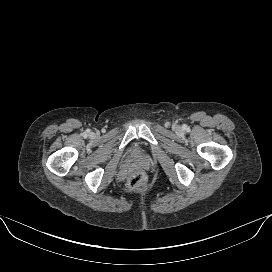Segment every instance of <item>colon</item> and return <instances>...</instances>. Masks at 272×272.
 <instances>
[{
    "label": "colon",
    "instance_id": "obj_1",
    "mask_svg": "<svg viewBox=\"0 0 272 272\" xmlns=\"http://www.w3.org/2000/svg\"><path fill=\"white\" fill-rule=\"evenodd\" d=\"M127 185L130 189L140 190L146 185V175L142 170H136L128 178Z\"/></svg>",
    "mask_w": 272,
    "mask_h": 272
}]
</instances>
